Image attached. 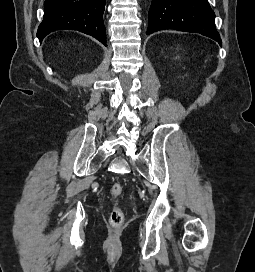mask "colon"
Returning <instances> with one entry per match:
<instances>
[{"instance_id":"obj_1","label":"colon","mask_w":255,"mask_h":272,"mask_svg":"<svg viewBox=\"0 0 255 272\" xmlns=\"http://www.w3.org/2000/svg\"><path fill=\"white\" fill-rule=\"evenodd\" d=\"M122 190L123 187L121 183H114L110 189V193L113 199H117L121 195ZM124 221V213L121 207L117 203H115L109 215V223L112 227H121L124 224Z\"/></svg>"}]
</instances>
